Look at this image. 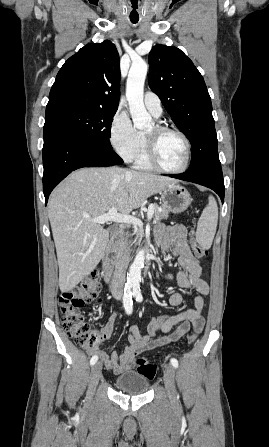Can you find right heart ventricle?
Here are the masks:
<instances>
[{
	"label": "right heart ventricle",
	"instance_id": "obj_1",
	"mask_svg": "<svg viewBox=\"0 0 269 447\" xmlns=\"http://www.w3.org/2000/svg\"><path fill=\"white\" fill-rule=\"evenodd\" d=\"M134 164L141 169H150L152 166L147 161L145 139L142 134H139V145L136 155L133 158Z\"/></svg>",
	"mask_w": 269,
	"mask_h": 447
}]
</instances>
